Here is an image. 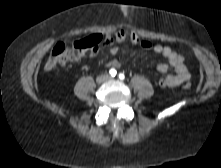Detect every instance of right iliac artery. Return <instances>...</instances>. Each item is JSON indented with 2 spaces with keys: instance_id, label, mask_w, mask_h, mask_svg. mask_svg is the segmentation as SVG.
I'll return each instance as SVG.
<instances>
[{
  "instance_id": "82829eb1",
  "label": "right iliac artery",
  "mask_w": 221,
  "mask_h": 168,
  "mask_svg": "<svg viewBox=\"0 0 221 168\" xmlns=\"http://www.w3.org/2000/svg\"><path fill=\"white\" fill-rule=\"evenodd\" d=\"M109 74H110L112 77H114V76H116L117 71H116L114 68H111V69L109 70Z\"/></svg>"
}]
</instances>
